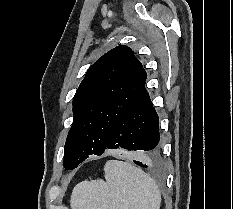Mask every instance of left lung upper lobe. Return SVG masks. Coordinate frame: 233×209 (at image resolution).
<instances>
[{
  "mask_svg": "<svg viewBox=\"0 0 233 209\" xmlns=\"http://www.w3.org/2000/svg\"><path fill=\"white\" fill-rule=\"evenodd\" d=\"M147 75L127 46H117L86 72L73 99L64 167L74 169L90 155H101L112 129L124 115Z\"/></svg>",
  "mask_w": 233,
  "mask_h": 209,
  "instance_id": "left-lung-upper-lobe-1",
  "label": "left lung upper lobe"
}]
</instances>
